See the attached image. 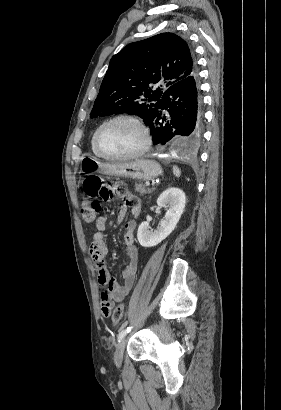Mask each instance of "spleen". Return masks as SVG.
I'll use <instances>...</instances> for the list:
<instances>
[{
    "instance_id": "3e777b00",
    "label": "spleen",
    "mask_w": 281,
    "mask_h": 410,
    "mask_svg": "<svg viewBox=\"0 0 281 410\" xmlns=\"http://www.w3.org/2000/svg\"><path fill=\"white\" fill-rule=\"evenodd\" d=\"M173 173L176 177H180L181 171L177 166H173Z\"/></svg>"
}]
</instances>
